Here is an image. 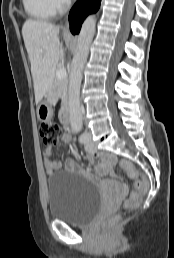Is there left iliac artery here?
I'll return each mask as SVG.
<instances>
[{
  "label": "left iliac artery",
  "instance_id": "1",
  "mask_svg": "<svg viewBox=\"0 0 174 258\" xmlns=\"http://www.w3.org/2000/svg\"><path fill=\"white\" fill-rule=\"evenodd\" d=\"M79 130L80 128L77 131ZM86 141H87V133L84 132L79 136V142L85 144Z\"/></svg>",
  "mask_w": 174,
  "mask_h": 258
}]
</instances>
